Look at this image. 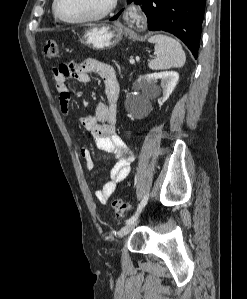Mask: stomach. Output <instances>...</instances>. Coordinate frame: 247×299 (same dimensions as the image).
I'll use <instances>...</instances> for the list:
<instances>
[{
  "mask_svg": "<svg viewBox=\"0 0 247 299\" xmlns=\"http://www.w3.org/2000/svg\"><path fill=\"white\" fill-rule=\"evenodd\" d=\"M123 28L119 24H98L90 27L81 38V43L97 50L110 49L122 39Z\"/></svg>",
  "mask_w": 247,
  "mask_h": 299,
  "instance_id": "obj_1",
  "label": "stomach"
}]
</instances>
